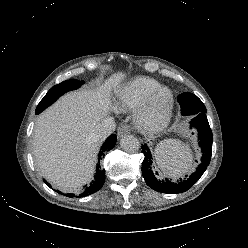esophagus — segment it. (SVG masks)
<instances>
[{"mask_svg": "<svg viewBox=\"0 0 248 248\" xmlns=\"http://www.w3.org/2000/svg\"><path fill=\"white\" fill-rule=\"evenodd\" d=\"M130 133H131V127L129 125H122L119 128L118 136L122 138L123 136L128 135Z\"/></svg>", "mask_w": 248, "mask_h": 248, "instance_id": "34e87169", "label": "esophagus"}]
</instances>
